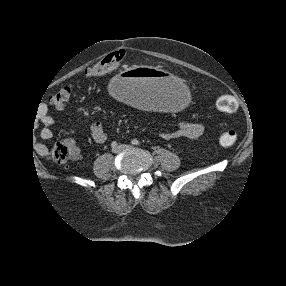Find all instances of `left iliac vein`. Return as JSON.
I'll return each instance as SVG.
<instances>
[{"label": "left iliac vein", "mask_w": 286, "mask_h": 286, "mask_svg": "<svg viewBox=\"0 0 286 286\" xmlns=\"http://www.w3.org/2000/svg\"><path fill=\"white\" fill-rule=\"evenodd\" d=\"M130 147H131V146L128 145V144H122V145L119 146V149H120V150H125V149H128V148H130Z\"/></svg>", "instance_id": "1"}]
</instances>
